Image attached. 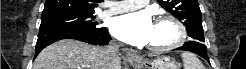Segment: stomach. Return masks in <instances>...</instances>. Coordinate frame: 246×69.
<instances>
[{"mask_svg":"<svg viewBox=\"0 0 246 69\" xmlns=\"http://www.w3.org/2000/svg\"><path fill=\"white\" fill-rule=\"evenodd\" d=\"M134 69H180L169 57H157L149 61L143 60L141 63H132Z\"/></svg>","mask_w":246,"mask_h":69,"instance_id":"1","label":"stomach"}]
</instances>
